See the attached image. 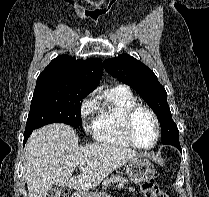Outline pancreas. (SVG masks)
I'll return each instance as SVG.
<instances>
[{
  "mask_svg": "<svg viewBox=\"0 0 209 197\" xmlns=\"http://www.w3.org/2000/svg\"><path fill=\"white\" fill-rule=\"evenodd\" d=\"M112 184L115 186V188H121V189L125 188L128 189L129 191L135 190L133 187L129 186L128 180L123 176L111 175L110 178H106L102 182L103 186H111Z\"/></svg>",
  "mask_w": 209,
  "mask_h": 197,
  "instance_id": "cf45deb5",
  "label": "pancreas"
}]
</instances>
